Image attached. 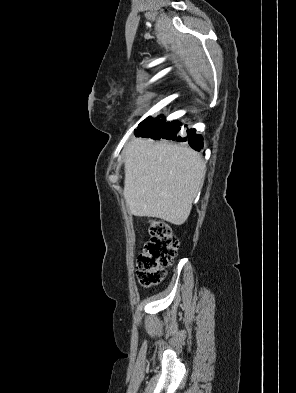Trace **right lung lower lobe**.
Returning <instances> with one entry per match:
<instances>
[{
    "label": "right lung lower lobe",
    "instance_id": "right-lung-lower-lobe-1",
    "mask_svg": "<svg viewBox=\"0 0 296 393\" xmlns=\"http://www.w3.org/2000/svg\"><path fill=\"white\" fill-rule=\"evenodd\" d=\"M180 125L181 123L178 121L166 122L163 115L156 118L149 116L139 124L135 130V135L152 139L163 138L181 142L188 141L192 148L199 151L203 147L202 137L196 134L195 129L187 130L188 139L180 137L178 134V131L181 129Z\"/></svg>",
    "mask_w": 296,
    "mask_h": 393
}]
</instances>
